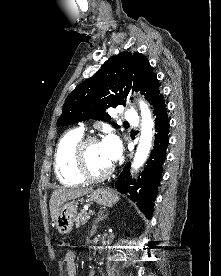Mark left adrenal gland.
<instances>
[{"label":"left adrenal gland","instance_id":"a2214340","mask_svg":"<svg viewBox=\"0 0 221 276\" xmlns=\"http://www.w3.org/2000/svg\"><path fill=\"white\" fill-rule=\"evenodd\" d=\"M107 217V214H104V211H100L97 215V218L94 221V225L91 231V235H93L97 229V224L99 221H102L103 219H105Z\"/></svg>","mask_w":221,"mask_h":276}]
</instances>
